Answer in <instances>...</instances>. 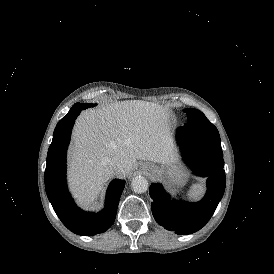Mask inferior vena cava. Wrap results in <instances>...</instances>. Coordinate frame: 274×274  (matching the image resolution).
I'll return each mask as SVG.
<instances>
[{"label":"inferior vena cava","instance_id":"obj_1","mask_svg":"<svg viewBox=\"0 0 274 274\" xmlns=\"http://www.w3.org/2000/svg\"><path fill=\"white\" fill-rule=\"evenodd\" d=\"M109 164L112 166L113 169L115 170H120L122 169L124 166L120 163L118 158H115L114 160H109Z\"/></svg>","mask_w":274,"mask_h":274}]
</instances>
